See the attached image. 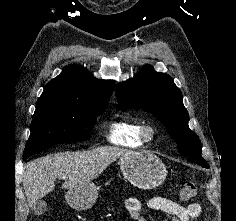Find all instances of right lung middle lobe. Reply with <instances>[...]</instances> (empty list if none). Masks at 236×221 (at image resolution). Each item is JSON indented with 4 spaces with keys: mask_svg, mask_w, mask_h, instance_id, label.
Returning <instances> with one entry per match:
<instances>
[{
    "mask_svg": "<svg viewBox=\"0 0 236 221\" xmlns=\"http://www.w3.org/2000/svg\"><path fill=\"white\" fill-rule=\"evenodd\" d=\"M106 107V103L37 104L23 158L58 143L88 140L96 116L103 113Z\"/></svg>",
    "mask_w": 236,
    "mask_h": 221,
    "instance_id": "1",
    "label": "right lung middle lobe"
}]
</instances>
